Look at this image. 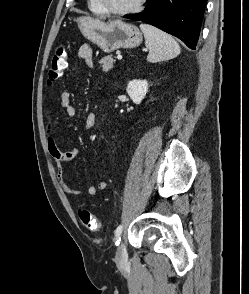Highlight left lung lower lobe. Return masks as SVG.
I'll use <instances>...</instances> for the list:
<instances>
[{"mask_svg": "<svg viewBox=\"0 0 249 294\" xmlns=\"http://www.w3.org/2000/svg\"><path fill=\"white\" fill-rule=\"evenodd\" d=\"M206 3L207 0H148L144 11L124 17L156 26L195 49Z\"/></svg>", "mask_w": 249, "mask_h": 294, "instance_id": "0a47b994", "label": "left lung lower lobe"}]
</instances>
